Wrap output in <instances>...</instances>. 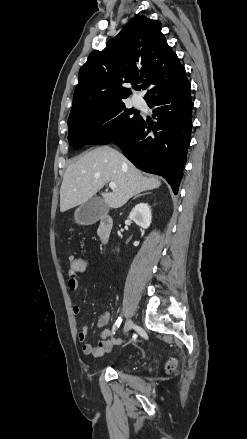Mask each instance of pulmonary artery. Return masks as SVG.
<instances>
[{
	"mask_svg": "<svg viewBox=\"0 0 247 439\" xmlns=\"http://www.w3.org/2000/svg\"><path fill=\"white\" fill-rule=\"evenodd\" d=\"M136 104H139V102H138V101H136Z\"/></svg>",
	"mask_w": 247,
	"mask_h": 439,
	"instance_id": "pulmonary-artery-1",
	"label": "pulmonary artery"
}]
</instances>
